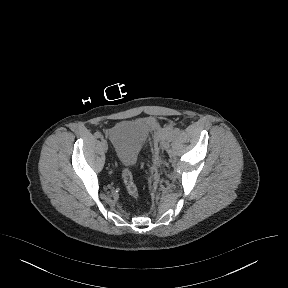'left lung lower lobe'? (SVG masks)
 <instances>
[{
    "label": "left lung lower lobe",
    "instance_id": "0a47b994",
    "mask_svg": "<svg viewBox=\"0 0 288 288\" xmlns=\"http://www.w3.org/2000/svg\"><path fill=\"white\" fill-rule=\"evenodd\" d=\"M261 228V222L260 219H257L250 225V230L252 232H257Z\"/></svg>",
    "mask_w": 288,
    "mask_h": 288
}]
</instances>
